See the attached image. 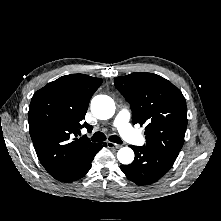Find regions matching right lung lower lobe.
I'll use <instances>...</instances> for the list:
<instances>
[{
	"label": "right lung lower lobe",
	"mask_w": 221,
	"mask_h": 221,
	"mask_svg": "<svg viewBox=\"0 0 221 221\" xmlns=\"http://www.w3.org/2000/svg\"><path fill=\"white\" fill-rule=\"evenodd\" d=\"M106 146V143L103 144H95L91 150L86 153L81 159L77 162L72 163L56 173L52 174V176L62 182L70 183L72 181H76L82 178L91 168V162L94 159V156L99 152V150Z\"/></svg>",
	"instance_id": "1"
}]
</instances>
